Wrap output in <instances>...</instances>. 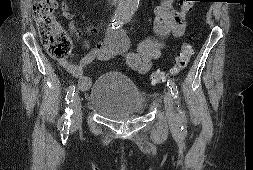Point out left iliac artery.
Masks as SVG:
<instances>
[{
	"instance_id": "obj_1",
	"label": "left iliac artery",
	"mask_w": 253,
	"mask_h": 170,
	"mask_svg": "<svg viewBox=\"0 0 253 170\" xmlns=\"http://www.w3.org/2000/svg\"><path fill=\"white\" fill-rule=\"evenodd\" d=\"M130 19H131V15H127V17L123 19V22H128ZM167 86L170 88L172 96H174V98H177L178 97V89H177L176 84L173 81L168 80ZM178 117L183 123L182 126H181V130L183 132H186L187 130H186V125H185V116H184V114L181 113V114H179Z\"/></svg>"
}]
</instances>
